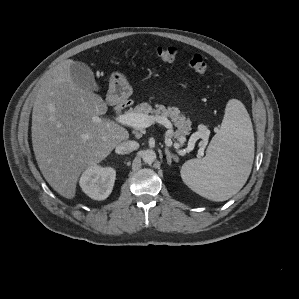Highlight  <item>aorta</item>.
<instances>
[{
	"label": "aorta",
	"instance_id": "obj_1",
	"mask_svg": "<svg viewBox=\"0 0 299 299\" xmlns=\"http://www.w3.org/2000/svg\"><path fill=\"white\" fill-rule=\"evenodd\" d=\"M142 159L145 163L151 164L156 160V153L152 149H147L142 152Z\"/></svg>",
	"mask_w": 299,
	"mask_h": 299
}]
</instances>
